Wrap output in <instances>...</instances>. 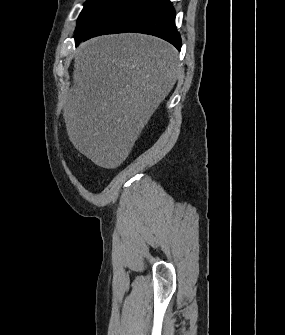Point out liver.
<instances>
[{
    "label": "liver",
    "instance_id": "1",
    "mask_svg": "<svg viewBox=\"0 0 285 335\" xmlns=\"http://www.w3.org/2000/svg\"><path fill=\"white\" fill-rule=\"evenodd\" d=\"M178 66L175 48L153 36L112 34L80 44L63 112L76 150L96 166L118 168L171 92Z\"/></svg>",
    "mask_w": 285,
    "mask_h": 335
}]
</instances>
